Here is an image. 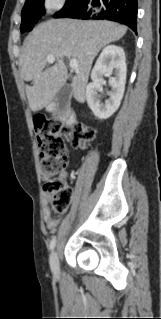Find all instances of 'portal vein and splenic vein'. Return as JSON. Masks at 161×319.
Listing matches in <instances>:
<instances>
[{"label": "portal vein and splenic vein", "mask_w": 161, "mask_h": 319, "mask_svg": "<svg viewBox=\"0 0 161 319\" xmlns=\"http://www.w3.org/2000/svg\"><path fill=\"white\" fill-rule=\"evenodd\" d=\"M48 63H54L55 62V57L52 54L47 55L46 57ZM70 67L72 69H77L78 68V60L77 59H71L69 63Z\"/></svg>", "instance_id": "18ae733b"}]
</instances>
